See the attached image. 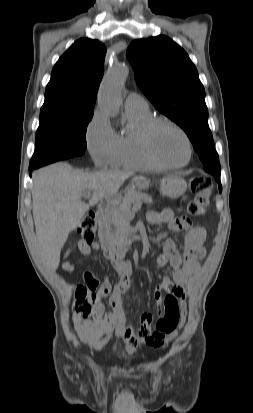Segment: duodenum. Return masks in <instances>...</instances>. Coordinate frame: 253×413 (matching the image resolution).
<instances>
[{"label":"duodenum","instance_id":"410a0bca","mask_svg":"<svg viewBox=\"0 0 253 413\" xmlns=\"http://www.w3.org/2000/svg\"><path fill=\"white\" fill-rule=\"evenodd\" d=\"M109 209L107 202H101L98 205V214L100 217L99 236L103 245L104 252L107 256L114 259H121L127 251V248L114 243L110 238V232L107 225L103 222L102 217Z\"/></svg>","mask_w":253,"mask_h":413}]
</instances>
